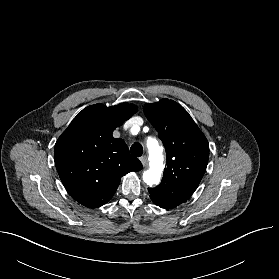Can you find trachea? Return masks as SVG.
Wrapping results in <instances>:
<instances>
[{"label": "trachea", "mask_w": 279, "mask_h": 279, "mask_svg": "<svg viewBox=\"0 0 279 279\" xmlns=\"http://www.w3.org/2000/svg\"><path fill=\"white\" fill-rule=\"evenodd\" d=\"M130 152L133 156L140 157L143 154V147L140 143H134L130 148Z\"/></svg>", "instance_id": "trachea-1"}]
</instances>
